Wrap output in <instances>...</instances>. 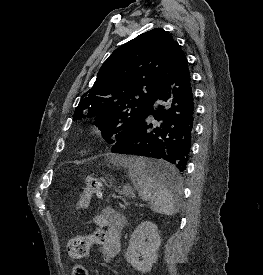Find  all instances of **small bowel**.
<instances>
[{
  "instance_id": "small-bowel-1",
  "label": "small bowel",
  "mask_w": 263,
  "mask_h": 275,
  "mask_svg": "<svg viewBox=\"0 0 263 275\" xmlns=\"http://www.w3.org/2000/svg\"><path fill=\"white\" fill-rule=\"evenodd\" d=\"M98 228L96 232L102 236L98 243L102 248L103 258L109 261L114 258L121 249V232L125 218L110 207L103 208L92 220Z\"/></svg>"
}]
</instances>
